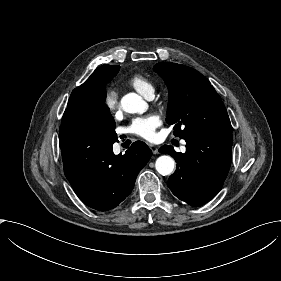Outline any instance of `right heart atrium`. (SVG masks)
<instances>
[{"instance_id": "obj_1", "label": "right heart atrium", "mask_w": 281, "mask_h": 281, "mask_svg": "<svg viewBox=\"0 0 281 281\" xmlns=\"http://www.w3.org/2000/svg\"><path fill=\"white\" fill-rule=\"evenodd\" d=\"M104 104L109 110L119 107L118 92L114 88H108L104 94Z\"/></svg>"}]
</instances>
